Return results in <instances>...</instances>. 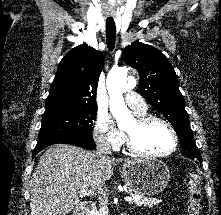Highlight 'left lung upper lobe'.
Instances as JSON below:
<instances>
[{
    "label": "left lung upper lobe",
    "instance_id": "1",
    "mask_svg": "<svg viewBox=\"0 0 221 215\" xmlns=\"http://www.w3.org/2000/svg\"><path fill=\"white\" fill-rule=\"evenodd\" d=\"M122 59L139 72L141 94L173 125L184 155L201 160L176 73L166 56L158 49L136 41L124 49Z\"/></svg>",
    "mask_w": 221,
    "mask_h": 215
}]
</instances>
